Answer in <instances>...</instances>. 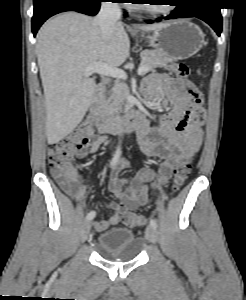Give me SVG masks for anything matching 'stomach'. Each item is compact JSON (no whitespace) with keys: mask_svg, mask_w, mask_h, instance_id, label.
<instances>
[{"mask_svg":"<svg viewBox=\"0 0 246 300\" xmlns=\"http://www.w3.org/2000/svg\"><path fill=\"white\" fill-rule=\"evenodd\" d=\"M204 37L200 27L186 20L170 21L151 35H141L151 47L171 60L195 55L203 47Z\"/></svg>","mask_w":246,"mask_h":300,"instance_id":"0dacf381","label":"stomach"}]
</instances>
